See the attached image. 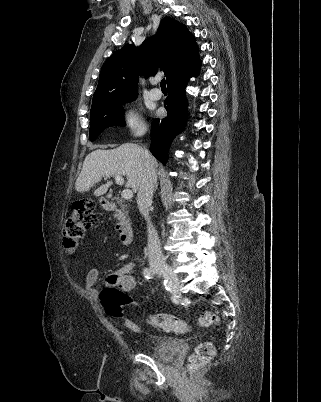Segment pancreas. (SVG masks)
Returning a JSON list of instances; mask_svg holds the SVG:
<instances>
[{
    "instance_id": "1",
    "label": "pancreas",
    "mask_w": 321,
    "mask_h": 402,
    "mask_svg": "<svg viewBox=\"0 0 321 402\" xmlns=\"http://www.w3.org/2000/svg\"><path fill=\"white\" fill-rule=\"evenodd\" d=\"M120 214H121V213H117V215H120ZM123 214H124L125 216H127L128 212L125 211Z\"/></svg>"
}]
</instances>
